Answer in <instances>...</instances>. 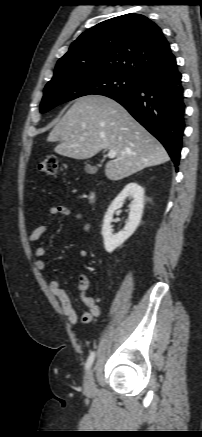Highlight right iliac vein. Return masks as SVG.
<instances>
[{"label": "right iliac vein", "instance_id": "63e3f726", "mask_svg": "<svg viewBox=\"0 0 202 437\" xmlns=\"http://www.w3.org/2000/svg\"><path fill=\"white\" fill-rule=\"evenodd\" d=\"M84 389L87 393L91 394L95 390L94 378L92 371H89L84 380Z\"/></svg>", "mask_w": 202, "mask_h": 437}]
</instances>
